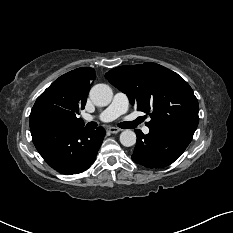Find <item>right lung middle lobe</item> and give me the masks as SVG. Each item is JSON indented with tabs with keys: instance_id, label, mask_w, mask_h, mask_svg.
<instances>
[{
	"instance_id": "obj_1",
	"label": "right lung middle lobe",
	"mask_w": 233,
	"mask_h": 233,
	"mask_svg": "<svg viewBox=\"0 0 233 233\" xmlns=\"http://www.w3.org/2000/svg\"><path fill=\"white\" fill-rule=\"evenodd\" d=\"M42 127L44 128H58L55 124L53 123H47L45 125H43Z\"/></svg>"
}]
</instances>
